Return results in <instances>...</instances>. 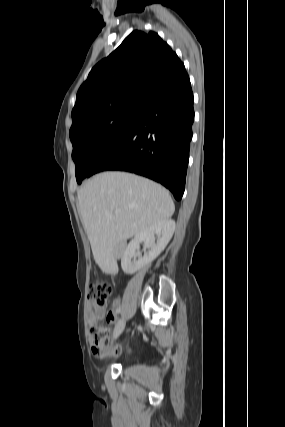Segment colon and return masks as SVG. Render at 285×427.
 Masks as SVG:
<instances>
[{"label": "colon", "mask_w": 285, "mask_h": 427, "mask_svg": "<svg viewBox=\"0 0 285 427\" xmlns=\"http://www.w3.org/2000/svg\"><path fill=\"white\" fill-rule=\"evenodd\" d=\"M110 292L111 286L107 282L94 281L89 285L88 297L97 304H104ZM89 335L92 340L94 352L103 356L111 354L110 351H107V347L110 344L108 327L93 324L90 327Z\"/></svg>", "instance_id": "colon-1"}]
</instances>
